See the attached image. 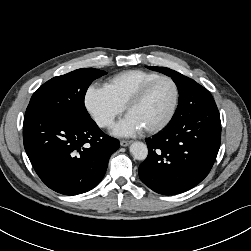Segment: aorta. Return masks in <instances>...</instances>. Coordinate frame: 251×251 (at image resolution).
Here are the masks:
<instances>
[{"label": "aorta", "instance_id": "762f6f07", "mask_svg": "<svg viewBox=\"0 0 251 251\" xmlns=\"http://www.w3.org/2000/svg\"><path fill=\"white\" fill-rule=\"evenodd\" d=\"M130 153L136 160L143 161L147 158L148 148L142 142H133L130 145Z\"/></svg>", "mask_w": 251, "mask_h": 251}]
</instances>
